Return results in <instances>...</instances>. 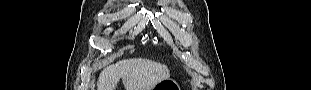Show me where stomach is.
<instances>
[{
  "label": "stomach",
  "mask_w": 311,
  "mask_h": 90,
  "mask_svg": "<svg viewBox=\"0 0 311 90\" xmlns=\"http://www.w3.org/2000/svg\"><path fill=\"white\" fill-rule=\"evenodd\" d=\"M153 90H180V88L175 80L168 78L159 82Z\"/></svg>",
  "instance_id": "1"
}]
</instances>
